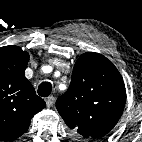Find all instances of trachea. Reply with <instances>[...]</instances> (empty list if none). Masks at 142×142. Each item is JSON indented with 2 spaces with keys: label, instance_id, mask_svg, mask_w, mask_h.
<instances>
[{
  "label": "trachea",
  "instance_id": "3493384b",
  "mask_svg": "<svg viewBox=\"0 0 142 142\" xmlns=\"http://www.w3.org/2000/svg\"><path fill=\"white\" fill-rule=\"evenodd\" d=\"M52 91V84L50 82H42L38 87V94L42 97H48Z\"/></svg>",
  "mask_w": 142,
  "mask_h": 142
}]
</instances>
